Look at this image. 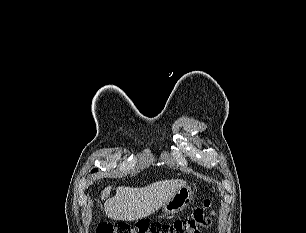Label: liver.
Listing matches in <instances>:
<instances>
[{"mask_svg": "<svg viewBox=\"0 0 306 233\" xmlns=\"http://www.w3.org/2000/svg\"><path fill=\"white\" fill-rule=\"evenodd\" d=\"M186 184L184 180L172 179L152 183L143 188L120 186L116 195L104 203L106 215L112 220L134 221L145 218L160 209ZM111 187L102 191V199L108 197Z\"/></svg>", "mask_w": 306, "mask_h": 233, "instance_id": "obj_1", "label": "liver"}]
</instances>
